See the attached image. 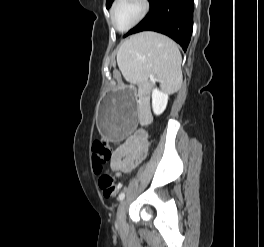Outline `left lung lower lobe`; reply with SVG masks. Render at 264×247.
<instances>
[{
  "mask_svg": "<svg viewBox=\"0 0 264 247\" xmlns=\"http://www.w3.org/2000/svg\"><path fill=\"white\" fill-rule=\"evenodd\" d=\"M150 11L124 37L142 31L165 34L187 50L193 29V0H149Z\"/></svg>",
  "mask_w": 264,
  "mask_h": 247,
  "instance_id": "1",
  "label": "left lung lower lobe"
}]
</instances>
